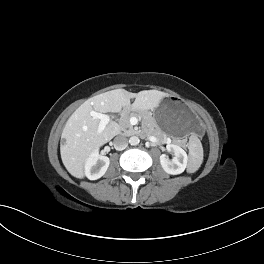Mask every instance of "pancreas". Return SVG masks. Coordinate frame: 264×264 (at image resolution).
Returning a JSON list of instances; mask_svg holds the SVG:
<instances>
[{"instance_id":"obj_1","label":"pancreas","mask_w":264,"mask_h":264,"mask_svg":"<svg viewBox=\"0 0 264 264\" xmlns=\"http://www.w3.org/2000/svg\"><path fill=\"white\" fill-rule=\"evenodd\" d=\"M139 117L141 116L140 114L130 111V110H125L122 114V117L119 121L120 124V129L124 132L126 135L134 134L136 131L134 127L130 124V118L131 117ZM148 132L147 134L156 136L159 139H164L163 134L161 133V130L157 127L155 122L153 120L148 121Z\"/></svg>"}]
</instances>
